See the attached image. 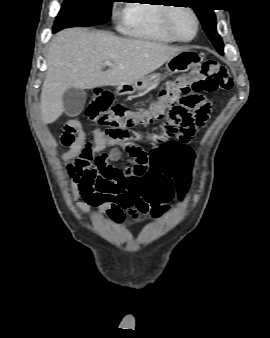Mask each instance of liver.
Returning <instances> with one entry per match:
<instances>
[{
  "label": "liver",
  "mask_w": 270,
  "mask_h": 338,
  "mask_svg": "<svg viewBox=\"0 0 270 338\" xmlns=\"http://www.w3.org/2000/svg\"><path fill=\"white\" fill-rule=\"evenodd\" d=\"M185 50L82 28L60 31L53 37L47 55L48 69L40 103L43 123H53L62 115V97L67 89L127 85ZM105 61H112L113 66L102 71Z\"/></svg>",
  "instance_id": "obj_1"
}]
</instances>
